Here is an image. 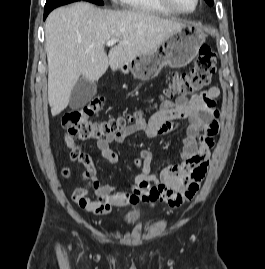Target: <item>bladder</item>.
<instances>
[{"label": "bladder", "instance_id": "31cf9c89", "mask_svg": "<svg viewBox=\"0 0 265 269\" xmlns=\"http://www.w3.org/2000/svg\"><path fill=\"white\" fill-rule=\"evenodd\" d=\"M142 215L143 213L140 209H131L126 211L121 218L125 224H134L142 218Z\"/></svg>", "mask_w": 265, "mask_h": 269}]
</instances>
